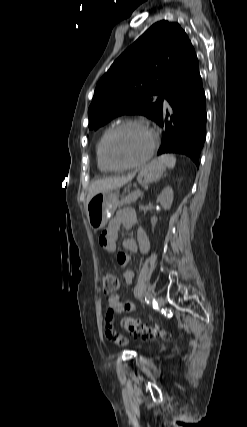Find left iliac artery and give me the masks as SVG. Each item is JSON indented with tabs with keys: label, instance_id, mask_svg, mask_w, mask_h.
I'll return each instance as SVG.
<instances>
[{
	"label": "left iliac artery",
	"instance_id": "left-iliac-artery-1",
	"mask_svg": "<svg viewBox=\"0 0 247 427\" xmlns=\"http://www.w3.org/2000/svg\"><path fill=\"white\" fill-rule=\"evenodd\" d=\"M146 302H147V304H150V303H151V296H150V295H147V297H146Z\"/></svg>",
	"mask_w": 247,
	"mask_h": 427
}]
</instances>
